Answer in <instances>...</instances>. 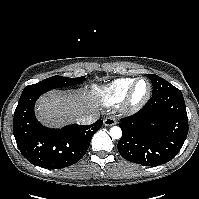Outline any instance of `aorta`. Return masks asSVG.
Masks as SVG:
<instances>
[{
    "mask_svg": "<svg viewBox=\"0 0 199 199\" xmlns=\"http://www.w3.org/2000/svg\"><path fill=\"white\" fill-rule=\"evenodd\" d=\"M110 136L113 138V139H120L121 136H122V130L120 127L118 126H113L111 129H110Z\"/></svg>",
    "mask_w": 199,
    "mask_h": 199,
    "instance_id": "762f6f07",
    "label": "aorta"
}]
</instances>
